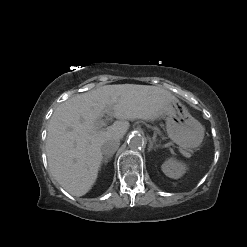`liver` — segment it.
Listing matches in <instances>:
<instances>
[{
	"mask_svg": "<svg viewBox=\"0 0 247 247\" xmlns=\"http://www.w3.org/2000/svg\"><path fill=\"white\" fill-rule=\"evenodd\" d=\"M175 97L150 85H105L77 94L61 103L48 124L46 154L52 177L71 195L83 196L94 185L103 156L102 144L122 139L127 120H155L165 115ZM116 121L100 130L97 120L104 114Z\"/></svg>",
	"mask_w": 247,
	"mask_h": 247,
	"instance_id": "liver-1",
	"label": "liver"
}]
</instances>
